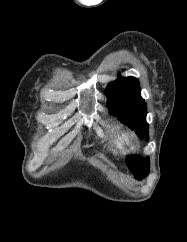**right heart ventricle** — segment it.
<instances>
[{"label":"right heart ventricle","instance_id":"right-heart-ventricle-1","mask_svg":"<svg viewBox=\"0 0 187 242\" xmlns=\"http://www.w3.org/2000/svg\"><path fill=\"white\" fill-rule=\"evenodd\" d=\"M125 142H126L125 134H123L122 132H118L115 140L117 147L121 149Z\"/></svg>","mask_w":187,"mask_h":242}]
</instances>
